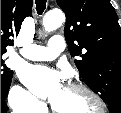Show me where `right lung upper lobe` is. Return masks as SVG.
I'll use <instances>...</instances> for the list:
<instances>
[{"instance_id":"right-lung-upper-lobe-1","label":"right lung upper lobe","mask_w":121,"mask_h":113,"mask_svg":"<svg viewBox=\"0 0 121 113\" xmlns=\"http://www.w3.org/2000/svg\"><path fill=\"white\" fill-rule=\"evenodd\" d=\"M32 0H1V52L13 45L10 37L18 35L25 17L30 16Z\"/></svg>"}]
</instances>
